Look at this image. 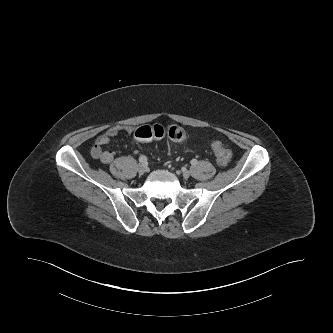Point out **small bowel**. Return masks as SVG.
I'll list each match as a JSON object with an SVG mask.
<instances>
[{"label":"small bowel","instance_id":"obj_1","mask_svg":"<svg viewBox=\"0 0 333 333\" xmlns=\"http://www.w3.org/2000/svg\"><path fill=\"white\" fill-rule=\"evenodd\" d=\"M122 131L131 135L134 133L135 129L131 126H114L109 128L105 133L99 135L96 138L95 143L90 151L91 156L94 159L101 161L102 163H111L114 159V153L109 149H103V146L110 143Z\"/></svg>","mask_w":333,"mask_h":333}]
</instances>
